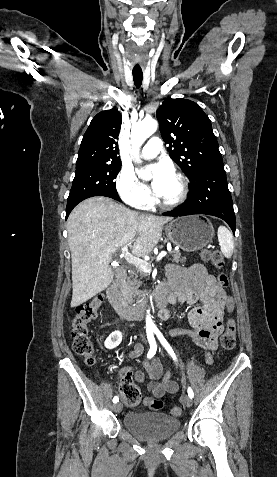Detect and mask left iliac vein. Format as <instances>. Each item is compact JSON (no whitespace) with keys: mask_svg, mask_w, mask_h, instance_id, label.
I'll list each match as a JSON object with an SVG mask.
<instances>
[{"mask_svg":"<svg viewBox=\"0 0 277 477\" xmlns=\"http://www.w3.org/2000/svg\"><path fill=\"white\" fill-rule=\"evenodd\" d=\"M182 403H183V405H185L186 407H191V406H192V398H190L189 396L185 395V396H183V398H182Z\"/></svg>","mask_w":277,"mask_h":477,"instance_id":"obj_1","label":"left iliac vein"}]
</instances>
